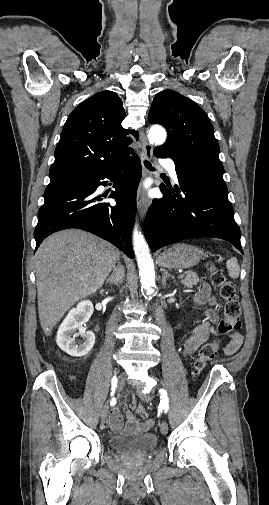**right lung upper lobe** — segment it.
I'll return each instance as SVG.
<instances>
[{
  "mask_svg": "<svg viewBox=\"0 0 269 505\" xmlns=\"http://www.w3.org/2000/svg\"><path fill=\"white\" fill-rule=\"evenodd\" d=\"M125 110L120 97L102 91L79 104L69 115L52 164L47 187L77 182L127 158L132 143L121 126Z\"/></svg>",
  "mask_w": 269,
  "mask_h": 505,
  "instance_id": "1",
  "label": "right lung upper lobe"
}]
</instances>
